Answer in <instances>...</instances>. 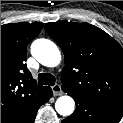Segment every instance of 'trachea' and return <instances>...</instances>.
Returning a JSON list of instances; mask_svg holds the SVG:
<instances>
[{
    "label": "trachea",
    "instance_id": "obj_1",
    "mask_svg": "<svg viewBox=\"0 0 123 123\" xmlns=\"http://www.w3.org/2000/svg\"><path fill=\"white\" fill-rule=\"evenodd\" d=\"M38 84L53 86L55 84V77L50 73H40L38 75Z\"/></svg>",
    "mask_w": 123,
    "mask_h": 123
}]
</instances>
